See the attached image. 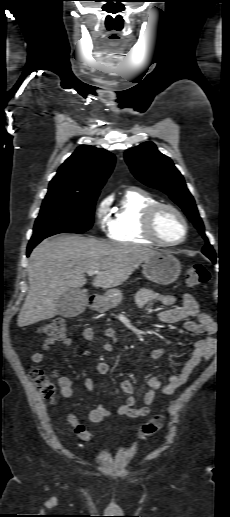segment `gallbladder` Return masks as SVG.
I'll use <instances>...</instances> for the list:
<instances>
[{
  "mask_svg": "<svg viewBox=\"0 0 230 517\" xmlns=\"http://www.w3.org/2000/svg\"><path fill=\"white\" fill-rule=\"evenodd\" d=\"M87 302L88 296L86 292L71 290L58 299V314L64 317L77 316L84 311Z\"/></svg>",
  "mask_w": 230,
  "mask_h": 517,
  "instance_id": "obj_1",
  "label": "gallbladder"
}]
</instances>
